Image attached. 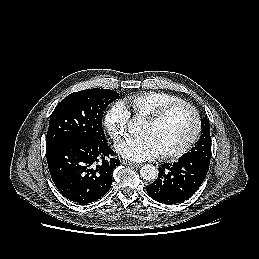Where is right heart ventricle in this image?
I'll return each instance as SVG.
<instances>
[{
    "instance_id": "e07e8e85",
    "label": "right heart ventricle",
    "mask_w": 259,
    "mask_h": 259,
    "mask_svg": "<svg viewBox=\"0 0 259 259\" xmlns=\"http://www.w3.org/2000/svg\"><path fill=\"white\" fill-rule=\"evenodd\" d=\"M182 101L179 97L165 92H144L125 98L124 103L136 117L146 118L162 107Z\"/></svg>"
}]
</instances>
